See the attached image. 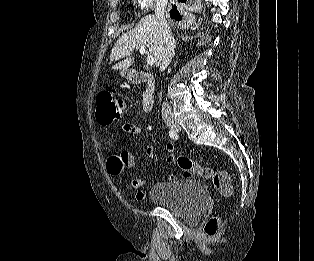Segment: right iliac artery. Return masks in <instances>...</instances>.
Instances as JSON below:
<instances>
[{"mask_svg": "<svg viewBox=\"0 0 314 261\" xmlns=\"http://www.w3.org/2000/svg\"><path fill=\"white\" fill-rule=\"evenodd\" d=\"M169 136H170L172 139H174V140H177V139H178V135H177L175 132H173V131H170V132H169Z\"/></svg>", "mask_w": 314, "mask_h": 261, "instance_id": "right-iliac-artery-1", "label": "right iliac artery"}]
</instances>
